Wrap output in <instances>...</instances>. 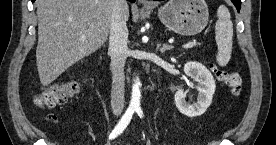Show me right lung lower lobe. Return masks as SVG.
Returning <instances> with one entry per match:
<instances>
[{"mask_svg":"<svg viewBox=\"0 0 276 145\" xmlns=\"http://www.w3.org/2000/svg\"><path fill=\"white\" fill-rule=\"evenodd\" d=\"M35 0H32V2H34ZM128 1H130V2H135V0H128Z\"/></svg>","mask_w":276,"mask_h":145,"instance_id":"98d812e1","label":"right lung lower lobe"}]
</instances>
